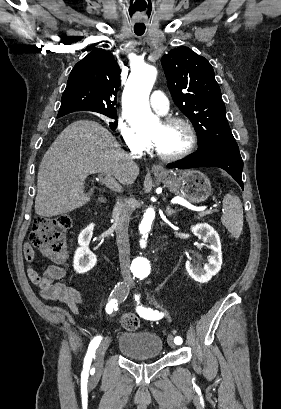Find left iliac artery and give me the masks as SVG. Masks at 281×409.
Listing matches in <instances>:
<instances>
[{"instance_id":"left-iliac-artery-1","label":"left iliac artery","mask_w":281,"mask_h":409,"mask_svg":"<svg viewBox=\"0 0 281 409\" xmlns=\"http://www.w3.org/2000/svg\"><path fill=\"white\" fill-rule=\"evenodd\" d=\"M135 299H136V301H138V300H139V296L136 295V296H135ZM136 310H137V313H138L141 317H143V318H145V319H148V320H158V319H161V318L163 317V314H162V313H159L158 311H154V310L151 309V308H146V307H144V306H142V305H139ZM174 342H175L177 345H179V344L182 343V338L179 337V336H177V337L174 338Z\"/></svg>"}]
</instances>
